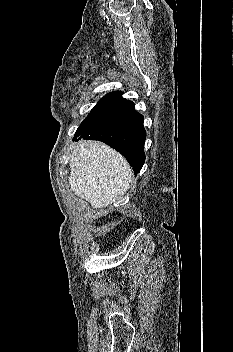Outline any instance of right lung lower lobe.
Returning a JSON list of instances; mask_svg holds the SVG:
<instances>
[{
    "instance_id": "98d812e1",
    "label": "right lung lower lobe",
    "mask_w": 233,
    "mask_h": 352,
    "mask_svg": "<svg viewBox=\"0 0 233 352\" xmlns=\"http://www.w3.org/2000/svg\"><path fill=\"white\" fill-rule=\"evenodd\" d=\"M143 120L134 103L124 100L78 130L73 140H99L108 144L127 159L137 174L145 162Z\"/></svg>"
}]
</instances>
